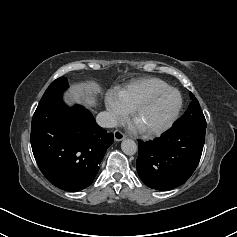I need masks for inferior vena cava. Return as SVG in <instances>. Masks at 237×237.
Segmentation results:
<instances>
[{"instance_id": "1", "label": "inferior vena cava", "mask_w": 237, "mask_h": 237, "mask_svg": "<svg viewBox=\"0 0 237 237\" xmlns=\"http://www.w3.org/2000/svg\"><path fill=\"white\" fill-rule=\"evenodd\" d=\"M96 122L99 126L103 128H114V127H117L118 125V121L115 118V116H113L111 113L106 112V111L100 112L97 115Z\"/></svg>"}]
</instances>
